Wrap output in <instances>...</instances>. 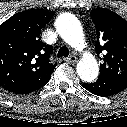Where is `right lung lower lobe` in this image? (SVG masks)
<instances>
[{
  "label": "right lung lower lobe",
  "instance_id": "98d812e1",
  "mask_svg": "<svg viewBox=\"0 0 127 127\" xmlns=\"http://www.w3.org/2000/svg\"><path fill=\"white\" fill-rule=\"evenodd\" d=\"M50 77L43 83L41 84H36V85H9V86H5L4 88L10 92L16 93V94H26V93H30L42 86H44L45 84L48 83Z\"/></svg>",
  "mask_w": 127,
  "mask_h": 127
}]
</instances>
